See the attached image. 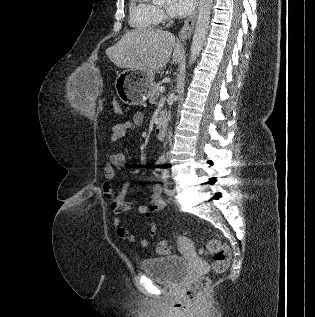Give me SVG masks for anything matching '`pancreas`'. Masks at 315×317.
I'll return each instance as SVG.
<instances>
[{
	"label": "pancreas",
	"mask_w": 315,
	"mask_h": 317,
	"mask_svg": "<svg viewBox=\"0 0 315 317\" xmlns=\"http://www.w3.org/2000/svg\"><path fill=\"white\" fill-rule=\"evenodd\" d=\"M159 97V85L158 84H153L152 88H151V92H150V99L149 102L151 104L156 103V100Z\"/></svg>",
	"instance_id": "cf45deb5"
}]
</instances>
